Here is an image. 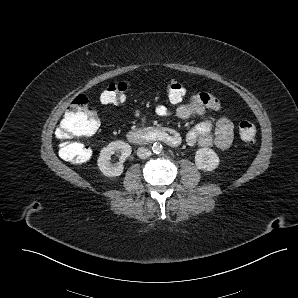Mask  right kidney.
Instances as JSON below:
<instances>
[{"mask_svg":"<svg viewBox=\"0 0 298 298\" xmlns=\"http://www.w3.org/2000/svg\"><path fill=\"white\" fill-rule=\"evenodd\" d=\"M132 148L128 143L121 140L113 141L102 148L97 160L100 171L107 177L120 176L123 173V163L131 155ZM114 153H120L119 162L111 163V156Z\"/></svg>","mask_w":298,"mask_h":298,"instance_id":"obj_1","label":"right kidney"}]
</instances>
